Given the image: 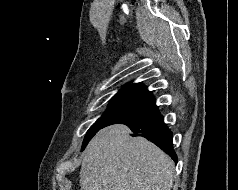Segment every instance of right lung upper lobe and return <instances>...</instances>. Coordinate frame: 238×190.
<instances>
[{
  "label": "right lung upper lobe",
  "mask_w": 238,
  "mask_h": 190,
  "mask_svg": "<svg viewBox=\"0 0 238 190\" xmlns=\"http://www.w3.org/2000/svg\"><path fill=\"white\" fill-rule=\"evenodd\" d=\"M114 97L134 98L154 104L156 102L152 93L141 83L125 85Z\"/></svg>",
  "instance_id": "cb5924a9"
}]
</instances>
